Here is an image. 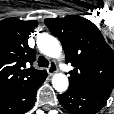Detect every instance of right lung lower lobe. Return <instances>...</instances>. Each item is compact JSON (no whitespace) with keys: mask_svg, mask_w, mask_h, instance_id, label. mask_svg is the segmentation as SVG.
<instances>
[{"mask_svg":"<svg viewBox=\"0 0 114 114\" xmlns=\"http://www.w3.org/2000/svg\"><path fill=\"white\" fill-rule=\"evenodd\" d=\"M47 73L33 83L24 85L0 97V114H21L31 109L37 89L45 81Z\"/></svg>","mask_w":114,"mask_h":114,"instance_id":"right-lung-lower-lobe-1","label":"right lung lower lobe"}]
</instances>
